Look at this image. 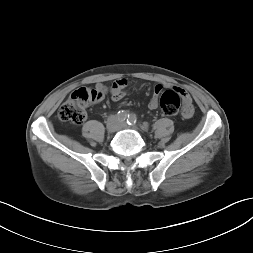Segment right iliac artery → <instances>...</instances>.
<instances>
[{"instance_id": "1", "label": "right iliac artery", "mask_w": 253, "mask_h": 253, "mask_svg": "<svg viewBox=\"0 0 253 253\" xmlns=\"http://www.w3.org/2000/svg\"><path fill=\"white\" fill-rule=\"evenodd\" d=\"M117 115H118V119L121 121L126 120L128 117V113L124 110L119 111Z\"/></svg>"}]
</instances>
